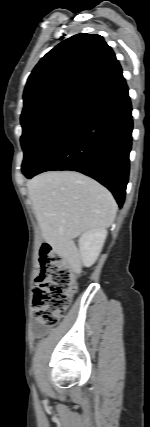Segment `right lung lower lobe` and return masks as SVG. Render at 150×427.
I'll use <instances>...</instances> for the list:
<instances>
[{"label": "right lung lower lobe", "instance_id": "98d812e1", "mask_svg": "<svg viewBox=\"0 0 150 427\" xmlns=\"http://www.w3.org/2000/svg\"><path fill=\"white\" fill-rule=\"evenodd\" d=\"M132 107L125 79L82 105L27 178L52 170H72L107 187L122 207L129 176Z\"/></svg>", "mask_w": 150, "mask_h": 427}]
</instances>
